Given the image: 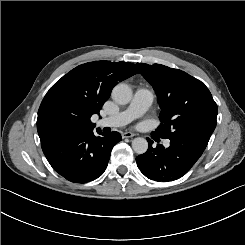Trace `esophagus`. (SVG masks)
<instances>
[{
    "label": "esophagus",
    "instance_id": "34e87169",
    "mask_svg": "<svg viewBox=\"0 0 245 245\" xmlns=\"http://www.w3.org/2000/svg\"><path fill=\"white\" fill-rule=\"evenodd\" d=\"M134 136H136V134L133 133V132H124L122 134V138H131V137H134Z\"/></svg>",
    "mask_w": 245,
    "mask_h": 245
}]
</instances>
